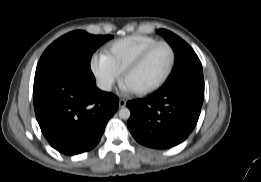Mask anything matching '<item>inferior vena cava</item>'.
Instances as JSON below:
<instances>
[{
	"label": "inferior vena cava",
	"mask_w": 261,
	"mask_h": 182,
	"mask_svg": "<svg viewBox=\"0 0 261 182\" xmlns=\"http://www.w3.org/2000/svg\"><path fill=\"white\" fill-rule=\"evenodd\" d=\"M97 87L101 90H104V91H111L112 84L109 81H98Z\"/></svg>",
	"instance_id": "obj_1"
}]
</instances>
